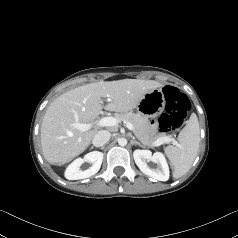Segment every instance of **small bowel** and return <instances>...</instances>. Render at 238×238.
I'll return each mask as SVG.
<instances>
[{"label":"small bowel","mask_w":238,"mask_h":238,"mask_svg":"<svg viewBox=\"0 0 238 238\" xmlns=\"http://www.w3.org/2000/svg\"><path fill=\"white\" fill-rule=\"evenodd\" d=\"M148 125H149L151 128H156V127L159 125V120H158L156 117H151V118L148 120Z\"/></svg>","instance_id":"c3829d8e"}]
</instances>
